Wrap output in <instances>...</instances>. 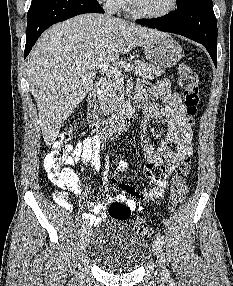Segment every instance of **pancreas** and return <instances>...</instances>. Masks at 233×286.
<instances>
[{"label":"pancreas","mask_w":233,"mask_h":286,"mask_svg":"<svg viewBox=\"0 0 233 286\" xmlns=\"http://www.w3.org/2000/svg\"><path fill=\"white\" fill-rule=\"evenodd\" d=\"M137 69L141 70L139 74L142 80H152L164 73L160 67H156L152 64L145 62H138ZM123 83L113 78L109 83L106 90L104 101L107 103L110 109L115 108L119 102L123 100Z\"/></svg>","instance_id":"cf45deb5"}]
</instances>
